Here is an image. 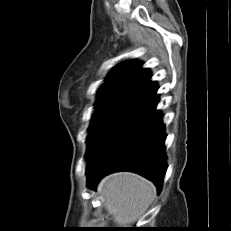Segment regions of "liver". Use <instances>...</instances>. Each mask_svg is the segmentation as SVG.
<instances>
[{
	"label": "liver",
	"instance_id": "1",
	"mask_svg": "<svg viewBox=\"0 0 231 231\" xmlns=\"http://www.w3.org/2000/svg\"><path fill=\"white\" fill-rule=\"evenodd\" d=\"M98 189L104 197L106 211L118 226L135 223L144 215L156 195L152 182L129 172L106 176Z\"/></svg>",
	"mask_w": 231,
	"mask_h": 231
}]
</instances>
